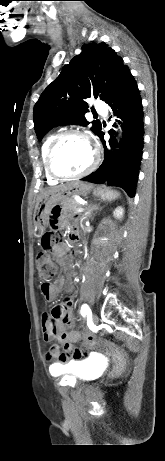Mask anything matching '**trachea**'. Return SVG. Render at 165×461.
<instances>
[{"instance_id":"1","label":"trachea","mask_w":165,"mask_h":461,"mask_svg":"<svg viewBox=\"0 0 165 461\" xmlns=\"http://www.w3.org/2000/svg\"><path fill=\"white\" fill-rule=\"evenodd\" d=\"M93 115H94V116H97V114H96V113H94Z\"/></svg>"}]
</instances>
